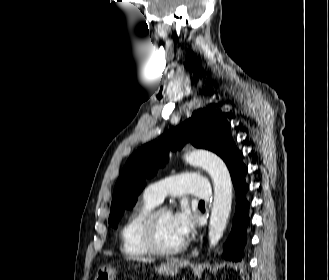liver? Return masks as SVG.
<instances>
[{"label": "liver", "mask_w": 329, "mask_h": 280, "mask_svg": "<svg viewBox=\"0 0 329 280\" xmlns=\"http://www.w3.org/2000/svg\"><path fill=\"white\" fill-rule=\"evenodd\" d=\"M127 259H132V260H135V261H138V262H149V263H151V262H154V259H152V258H143V257H134V258H127Z\"/></svg>", "instance_id": "6515ba94"}]
</instances>
